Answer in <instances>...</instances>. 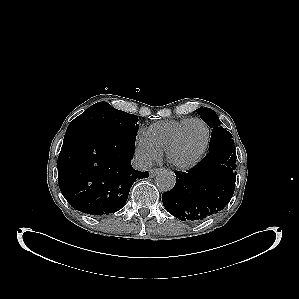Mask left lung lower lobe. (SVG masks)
I'll return each mask as SVG.
<instances>
[{"instance_id":"obj_1","label":"left lung lower lobe","mask_w":299,"mask_h":299,"mask_svg":"<svg viewBox=\"0 0 299 299\" xmlns=\"http://www.w3.org/2000/svg\"><path fill=\"white\" fill-rule=\"evenodd\" d=\"M236 152L234 145H221L193 169L176 172L174 188L162 194L165 209L186 221L204 219L231 200L236 182Z\"/></svg>"}]
</instances>
